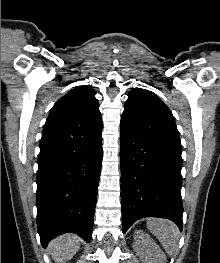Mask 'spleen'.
<instances>
[{
  "label": "spleen",
  "mask_w": 220,
  "mask_h": 263,
  "mask_svg": "<svg viewBox=\"0 0 220 263\" xmlns=\"http://www.w3.org/2000/svg\"><path fill=\"white\" fill-rule=\"evenodd\" d=\"M149 231L158 238L169 255L178 251L180 232L178 227L169 220L152 218L147 221Z\"/></svg>",
  "instance_id": "1"
}]
</instances>
